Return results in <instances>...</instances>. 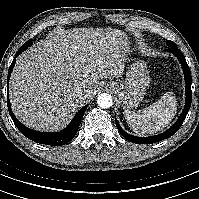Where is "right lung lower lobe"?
Returning <instances> with one entry per match:
<instances>
[{"mask_svg":"<svg viewBox=\"0 0 199 199\" xmlns=\"http://www.w3.org/2000/svg\"><path fill=\"white\" fill-rule=\"evenodd\" d=\"M32 43L30 41H27L21 48L17 51L15 55V59L12 61V64L10 66L8 77H7V87H8V81L10 79L11 72L13 70V67L16 62V57L21 54L24 50H26ZM7 106L9 110V114L16 125V127L19 129V131L26 136L28 139L45 144V145H51V146H60L68 143L70 140L73 139V137L76 135L80 122L83 117V113L86 110L88 105H85L79 112L76 114L72 122L66 127L64 130L56 133H47V132H39L35 130H31L24 126L21 122H19L15 115L13 114L11 107H10V101L9 98L7 99Z\"/></svg>","mask_w":199,"mask_h":199,"instance_id":"1","label":"right lung lower lobe"}]
</instances>
